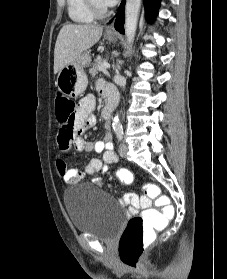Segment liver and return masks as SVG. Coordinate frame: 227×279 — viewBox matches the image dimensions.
<instances>
[{"label": "liver", "instance_id": "obj_1", "mask_svg": "<svg viewBox=\"0 0 227 279\" xmlns=\"http://www.w3.org/2000/svg\"><path fill=\"white\" fill-rule=\"evenodd\" d=\"M99 25L66 24L57 37L54 49V73L75 61L84 51L95 45L102 36Z\"/></svg>", "mask_w": 227, "mask_h": 279}]
</instances>
